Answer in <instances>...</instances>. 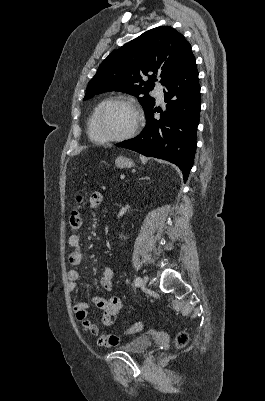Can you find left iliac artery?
<instances>
[{"instance_id": "left-iliac-artery-1", "label": "left iliac artery", "mask_w": 265, "mask_h": 401, "mask_svg": "<svg viewBox=\"0 0 265 401\" xmlns=\"http://www.w3.org/2000/svg\"><path fill=\"white\" fill-rule=\"evenodd\" d=\"M141 282H142L141 277H136L134 280L135 286L137 287L140 286Z\"/></svg>"}]
</instances>
